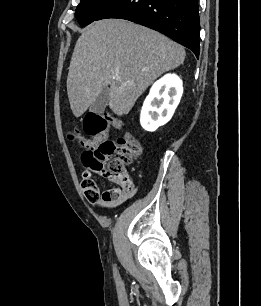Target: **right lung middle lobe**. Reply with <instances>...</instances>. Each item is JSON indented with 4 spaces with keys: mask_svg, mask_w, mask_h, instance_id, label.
Here are the masks:
<instances>
[{
    "mask_svg": "<svg viewBox=\"0 0 261 306\" xmlns=\"http://www.w3.org/2000/svg\"><path fill=\"white\" fill-rule=\"evenodd\" d=\"M116 0H81L76 8L75 16L81 26L95 21Z\"/></svg>",
    "mask_w": 261,
    "mask_h": 306,
    "instance_id": "obj_1",
    "label": "right lung middle lobe"
}]
</instances>
